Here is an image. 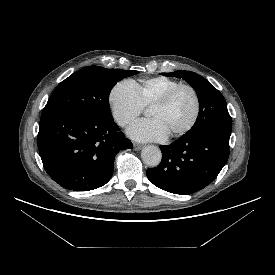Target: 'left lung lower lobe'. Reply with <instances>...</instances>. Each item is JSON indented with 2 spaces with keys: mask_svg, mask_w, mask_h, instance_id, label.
I'll use <instances>...</instances> for the list:
<instances>
[{
  "mask_svg": "<svg viewBox=\"0 0 275 275\" xmlns=\"http://www.w3.org/2000/svg\"><path fill=\"white\" fill-rule=\"evenodd\" d=\"M229 132L184 134L167 146H160L159 166L146 171L158 188L189 195L209 185L229 157Z\"/></svg>",
  "mask_w": 275,
  "mask_h": 275,
  "instance_id": "0a47b994",
  "label": "left lung lower lobe"
}]
</instances>
